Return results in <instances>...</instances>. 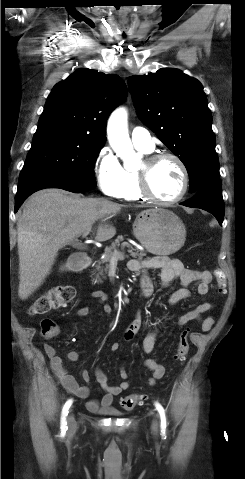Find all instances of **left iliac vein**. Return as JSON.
<instances>
[{
    "mask_svg": "<svg viewBox=\"0 0 245 479\" xmlns=\"http://www.w3.org/2000/svg\"><path fill=\"white\" fill-rule=\"evenodd\" d=\"M151 429H152L154 434H157V432H158V418H157V416H155V418L152 422Z\"/></svg>",
    "mask_w": 245,
    "mask_h": 479,
    "instance_id": "1",
    "label": "left iliac vein"
}]
</instances>
